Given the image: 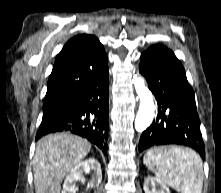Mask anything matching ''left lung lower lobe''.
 Returning <instances> with one entry per match:
<instances>
[{"label": "left lung lower lobe", "instance_id": "1", "mask_svg": "<svg viewBox=\"0 0 221 193\" xmlns=\"http://www.w3.org/2000/svg\"><path fill=\"white\" fill-rule=\"evenodd\" d=\"M139 71L158 102L157 118L142 133L139 152L152 146L177 144L193 148L204 160L195 96L180 61L167 47L152 45L142 53ZM172 116L175 126L169 122Z\"/></svg>", "mask_w": 221, "mask_h": 193}]
</instances>
